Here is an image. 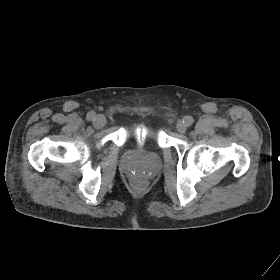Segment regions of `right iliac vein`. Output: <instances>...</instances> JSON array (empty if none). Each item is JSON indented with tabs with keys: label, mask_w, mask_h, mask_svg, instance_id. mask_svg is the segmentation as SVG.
I'll list each match as a JSON object with an SVG mask.
<instances>
[{
	"label": "right iliac vein",
	"mask_w": 280,
	"mask_h": 280,
	"mask_svg": "<svg viewBox=\"0 0 280 280\" xmlns=\"http://www.w3.org/2000/svg\"><path fill=\"white\" fill-rule=\"evenodd\" d=\"M93 124L98 129L103 128L106 125V118L103 115H98Z\"/></svg>",
	"instance_id": "63e3f726"
}]
</instances>
